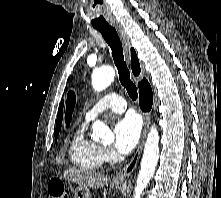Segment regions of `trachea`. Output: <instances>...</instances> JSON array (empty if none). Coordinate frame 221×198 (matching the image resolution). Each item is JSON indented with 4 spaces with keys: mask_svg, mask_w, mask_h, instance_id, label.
<instances>
[{
    "mask_svg": "<svg viewBox=\"0 0 221 198\" xmlns=\"http://www.w3.org/2000/svg\"><path fill=\"white\" fill-rule=\"evenodd\" d=\"M96 29L100 31L103 38L111 48L112 57L117 67L121 84L124 86V88H126L131 99L136 100L138 97L137 88L130 79V72L124 61L122 44L116 29L111 26L98 27Z\"/></svg>",
    "mask_w": 221,
    "mask_h": 198,
    "instance_id": "obj_1",
    "label": "trachea"
}]
</instances>
